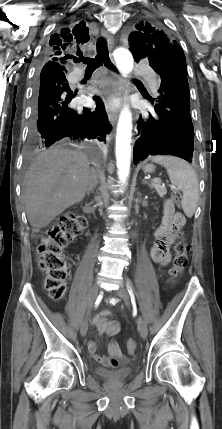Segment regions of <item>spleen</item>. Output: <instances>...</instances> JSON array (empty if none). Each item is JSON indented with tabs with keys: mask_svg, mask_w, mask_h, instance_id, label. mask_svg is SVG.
Wrapping results in <instances>:
<instances>
[{
	"mask_svg": "<svg viewBox=\"0 0 222 429\" xmlns=\"http://www.w3.org/2000/svg\"><path fill=\"white\" fill-rule=\"evenodd\" d=\"M152 161L164 166L170 182L182 191L181 205L185 215L191 218L195 213L199 198L196 172L186 161L177 157L158 155L154 156Z\"/></svg>",
	"mask_w": 222,
	"mask_h": 429,
	"instance_id": "3e777b00",
	"label": "spleen"
}]
</instances>
